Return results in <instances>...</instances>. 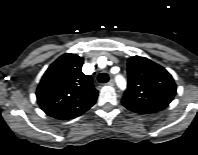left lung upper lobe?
<instances>
[{
  "instance_id": "5c2ea615",
  "label": "left lung upper lobe",
  "mask_w": 198,
  "mask_h": 155,
  "mask_svg": "<svg viewBox=\"0 0 198 155\" xmlns=\"http://www.w3.org/2000/svg\"><path fill=\"white\" fill-rule=\"evenodd\" d=\"M128 87L122 104L136 113L165 109L176 94V84L169 72L140 56L128 59Z\"/></svg>"
}]
</instances>
